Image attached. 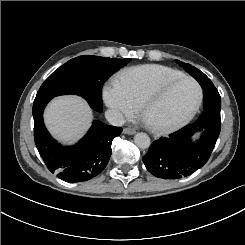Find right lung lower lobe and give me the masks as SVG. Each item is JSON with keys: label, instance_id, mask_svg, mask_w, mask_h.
<instances>
[{"label": "right lung lower lobe", "instance_id": "1", "mask_svg": "<svg viewBox=\"0 0 245 245\" xmlns=\"http://www.w3.org/2000/svg\"><path fill=\"white\" fill-rule=\"evenodd\" d=\"M51 99L34 101V140L47 168L66 182H81L97 176L106 167L112 153V140L122 128L94 121L86 136L76 145L63 147L49 134L43 122V110Z\"/></svg>", "mask_w": 245, "mask_h": 245}]
</instances>
